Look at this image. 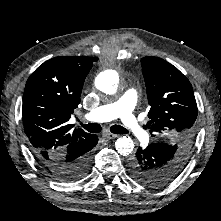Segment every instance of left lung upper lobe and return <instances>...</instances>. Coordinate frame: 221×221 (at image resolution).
<instances>
[{
    "label": "left lung upper lobe",
    "mask_w": 221,
    "mask_h": 221,
    "mask_svg": "<svg viewBox=\"0 0 221 221\" xmlns=\"http://www.w3.org/2000/svg\"><path fill=\"white\" fill-rule=\"evenodd\" d=\"M141 64L150 105L147 127L152 136L166 137L155 143L166 150L159 168L162 176L156 178L166 184L189 159L196 135L197 104L189 80L176 67L158 57H144Z\"/></svg>",
    "instance_id": "obj_1"
}]
</instances>
